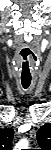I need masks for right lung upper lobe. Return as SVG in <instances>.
Returning <instances> with one entry per match:
<instances>
[{
    "label": "right lung upper lobe",
    "instance_id": "cb5924a9",
    "mask_svg": "<svg viewBox=\"0 0 51 150\" xmlns=\"http://www.w3.org/2000/svg\"><path fill=\"white\" fill-rule=\"evenodd\" d=\"M14 131L11 128H0V150H12Z\"/></svg>",
    "mask_w": 51,
    "mask_h": 150
}]
</instances>
